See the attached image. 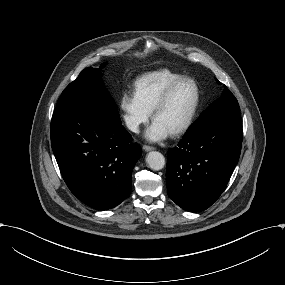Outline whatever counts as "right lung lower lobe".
Returning a JSON list of instances; mask_svg holds the SVG:
<instances>
[{
  "label": "right lung lower lobe",
  "instance_id": "98d812e1",
  "mask_svg": "<svg viewBox=\"0 0 285 285\" xmlns=\"http://www.w3.org/2000/svg\"><path fill=\"white\" fill-rule=\"evenodd\" d=\"M51 145L70 191L86 205L107 210L130 194L141 148L132 142L117 110L70 107L55 110Z\"/></svg>",
  "mask_w": 285,
  "mask_h": 285
}]
</instances>
